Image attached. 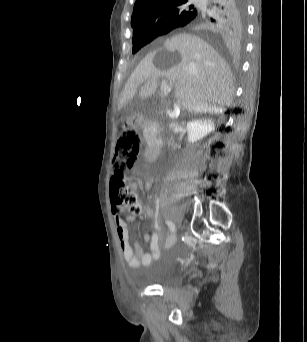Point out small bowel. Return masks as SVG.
<instances>
[{
  "instance_id": "small-bowel-1",
  "label": "small bowel",
  "mask_w": 307,
  "mask_h": 342,
  "mask_svg": "<svg viewBox=\"0 0 307 342\" xmlns=\"http://www.w3.org/2000/svg\"><path fill=\"white\" fill-rule=\"evenodd\" d=\"M154 216L153 210L148 208L144 211V219H150ZM128 220H132L129 219ZM117 238L120 243L124 260L131 268L149 265L152 260L157 259L160 255V232H154L152 235H145V241L149 244L150 251L144 252L139 243L133 241L130 237L127 222L120 216L114 218ZM157 228V226H156Z\"/></svg>"
}]
</instances>
